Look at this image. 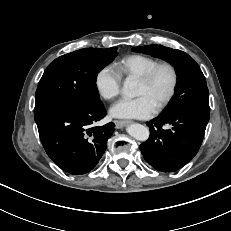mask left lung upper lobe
I'll list each match as a JSON object with an SVG mask.
<instances>
[{
  "instance_id": "1",
  "label": "left lung upper lobe",
  "mask_w": 231,
  "mask_h": 231,
  "mask_svg": "<svg viewBox=\"0 0 231 231\" xmlns=\"http://www.w3.org/2000/svg\"><path fill=\"white\" fill-rule=\"evenodd\" d=\"M132 51L162 58L175 67L178 75L176 93L161 114L182 109L209 114V92L205 77L196 61L188 54L156 44L135 47Z\"/></svg>"
}]
</instances>
